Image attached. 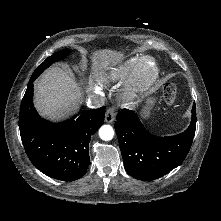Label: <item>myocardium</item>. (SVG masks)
Returning a JSON list of instances; mask_svg holds the SVG:
<instances>
[{
	"mask_svg": "<svg viewBox=\"0 0 221 221\" xmlns=\"http://www.w3.org/2000/svg\"><path fill=\"white\" fill-rule=\"evenodd\" d=\"M148 67L150 71H147ZM158 75L159 66L156 60L149 56L141 58L132 71L127 96L134 97L150 88L157 80Z\"/></svg>",
	"mask_w": 221,
	"mask_h": 221,
	"instance_id": "myocardium-1",
	"label": "myocardium"
}]
</instances>
